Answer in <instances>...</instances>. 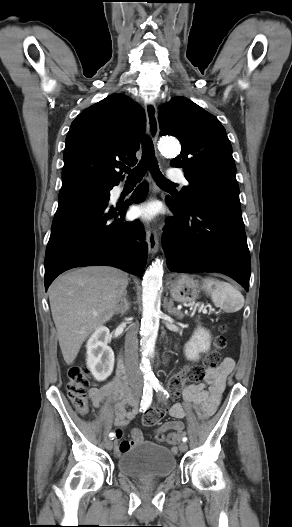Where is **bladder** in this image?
<instances>
[{"mask_svg":"<svg viewBox=\"0 0 292 527\" xmlns=\"http://www.w3.org/2000/svg\"><path fill=\"white\" fill-rule=\"evenodd\" d=\"M117 469L123 475L141 479H161L176 469V458L166 446L144 441L122 452L117 459Z\"/></svg>","mask_w":292,"mask_h":527,"instance_id":"1","label":"bladder"}]
</instances>
